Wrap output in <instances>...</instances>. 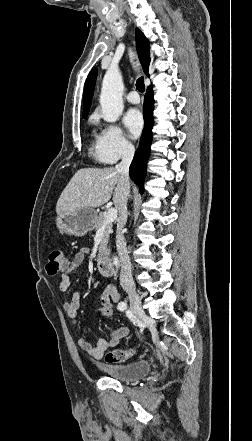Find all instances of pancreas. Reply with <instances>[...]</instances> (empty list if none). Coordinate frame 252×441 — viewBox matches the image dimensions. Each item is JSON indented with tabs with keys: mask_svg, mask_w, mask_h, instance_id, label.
<instances>
[{
	"mask_svg": "<svg viewBox=\"0 0 252 441\" xmlns=\"http://www.w3.org/2000/svg\"><path fill=\"white\" fill-rule=\"evenodd\" d=\"M105 216L106 215L104 213H102V212L99 213V215L96 218L95 225H94V228L96 230L100 229L101 227H104L103 236H102L100 246H99L98 258H97L98 262H101L105 257H107L109 255L107 243H108L109 237L113 231L112 230V227H113L112 223L104 225Z\"/></svg>",
	"mask_w": 252,
	"mask_h": 441,
	"instance_id": "cf45deb5",
	"label": "pancreas"
}]
</instances>
